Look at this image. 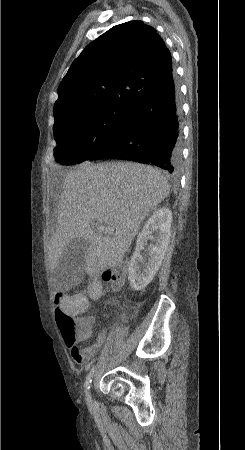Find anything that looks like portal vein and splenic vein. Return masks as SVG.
Here are the masks:
<instances>
[{
  "instance_id": "portal-vein-and-splenic-vein-1",
  "label": "portal vein and splenic vein",
  "mask_w": 245,
  "mask_h": 450,
  "mask_svg": "<svg viewBox=\"0 0 245 450\" xmlns=\"http://www.w3.org/2000/svg\"><path fill=\"white\" fill-rule=\"evenodd\" d=\"M96 229H97L99 232H103V233L109 234V235H111V234L114 233V229H113V228H111V227H109V226H105V225H99V226H96Z\"/></svg>"
}]
</instances>
